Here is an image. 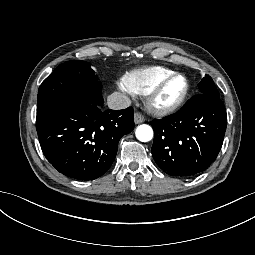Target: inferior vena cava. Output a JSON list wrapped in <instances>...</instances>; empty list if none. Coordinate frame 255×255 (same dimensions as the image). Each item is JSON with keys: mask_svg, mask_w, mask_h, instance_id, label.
<instances>
[{"mask_svg": "<svg viewBox=\"0 0 255 255\" xmlns=\"http://www.w3.org/2000/svg\"><path fill=\"white\" fill-rule=\"evenodd\" d=\"M108 107L113 110L125 109L131 105L128 96L120 92H114L107 98Z\"/></svg>", "mask_w": 255, "mask_h": 255, "instance_id": "inferior-vena-cava-1", "label": "inferior vena cava"}]
</instances>
